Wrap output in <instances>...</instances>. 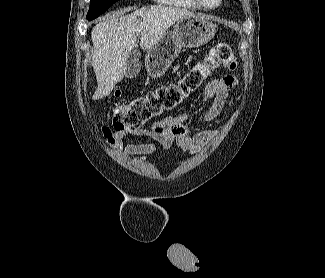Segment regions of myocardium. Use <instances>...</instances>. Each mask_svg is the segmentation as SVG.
Listing matches in <instances>:
<instances>
[{"instance_id":"1","label":"myocardium","mask_w":325,"mask_h":278,"mask_svg":"<svg viewBox=\"0 0 325 278\" xmlns=\"http://www.w3.org/2000/svg\"><path fill=\"white\" fill-rule=\"evenodd\" d=\"M197 1L205 9H215V8L219 7L223 2V0H218L217 3L210 5V4L206 3L205 0H197Z\"/></svg>"}]
</instances>
